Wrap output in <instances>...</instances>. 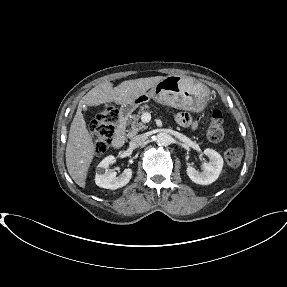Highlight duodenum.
<instances>
[{"instance_id":"duodenum-1","label":"duodenum","mask_w":287,"mask_h":287,"mask_svg":"<svg viewBox=\"0 0 287 287\" xmlns=\"http://www.w3.org/2000/svg\"><path fill=\"white\" fill-rule=\"evenodd\" d=\"M127 120H128L127 112H123L120 116L112 141L113 146L115 148H121L125 143Z\"/></svg>"}]
</instances>
